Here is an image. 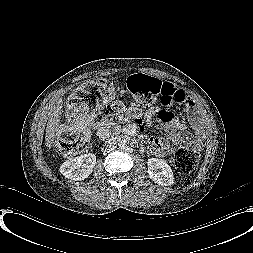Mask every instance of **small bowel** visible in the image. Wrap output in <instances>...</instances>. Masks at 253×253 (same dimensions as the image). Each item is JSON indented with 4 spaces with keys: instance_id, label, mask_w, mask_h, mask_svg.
<instances>
[{
    "instance_id": "obj_1",
    "label": "small bowel",
    "mask_w": 253,
    "mask_h": 253,
    "mask_svg": "<svg viewBox=\"0 0 253 253\" xmlns=\"http://www.w3.org/2000/svg\"><path fill=\"white\" fill-rule=\"evenodd\" d=\"M174 86V85H173ZM175 87L178 101L185 104L187 116L192 120L197 136L184 131V125L180 123L173 113L165 109L150 108L143 112L139 107L127 108L122 102L116 101L111 104V109L118 115H129L140 126L141 137L150 146V152L156 156L164 157L174 152L182 143L190 144L194 149L201 148L200 116L197 113L191 97L181 88ZM157 117L165 129L164 137L149 136L143 131L142 122L150 123ZM92 130L100 138H106L117 131V125L108 117L104 116L100 121L91 124ZM181 131V135L174 133Z\"/></svg>"
}]
</instances>
